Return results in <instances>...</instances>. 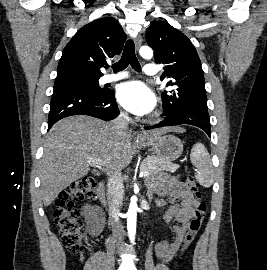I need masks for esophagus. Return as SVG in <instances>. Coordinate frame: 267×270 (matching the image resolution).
I'll list each match as a JSON object with an SVG mask.
<instances>
[{"instance_id": "1", "label": "esophagus", "mask_w": 267, "mask_h": 270, "mask_svg": "<svg viewBox=\"0 0 267 270\" xmlns=\"http://www.w3.org/2000/svg\"><path fill=\"white\" fill-rule=\"evenodd\" d=\"M134 43H135V49L136 51H138L142 44V38L140 35L135 38Z\"/></svg>"}]
</instances>
